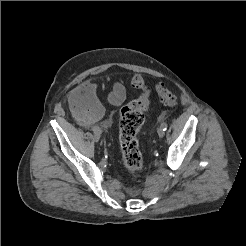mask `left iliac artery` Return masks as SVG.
<instances>
[{
  "label": "left iliac artery",
  "mask_w": 246,
  "mask_h": 246,
  "mask_svg": "<svg viewBox=\"0 0 246 246\" xmlns=\"http://www.w3.org/2000/svg\"><path fill=\"white\" fill-rule=\"evenodd\" d=\"M161 128L165 131L167 129V124L164 122L161 124Z\"/></svg>",
  "instance_id": "obj_1"
}]
</instances>
